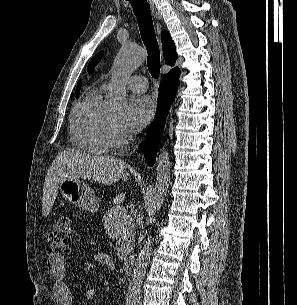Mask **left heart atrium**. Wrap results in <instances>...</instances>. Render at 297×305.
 Listing matches in <instances>:
<instances>
[{"label":"left heart atrium","instance_id":"39dd6f15","mask_svg":"<svg viewBox=\"0 0 297 305\" xmlns=\"http://www.w3.org/2000/svg\"><path fill=\"white\" fill-rule=\"evenodd\" d=\"M155 112V105L149 96H136L132 99L126 120L123 123L124 129L131 134L138 133L145 128Z\"/></svg>","mask_w":297,"mask_h":305}]
</instances>
